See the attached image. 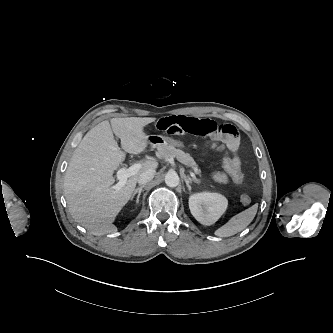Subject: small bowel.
<instances>
[{
	"mask_svg": "<svg viewBox=\"0 0 333 333\" xmlns=\"http://www.w3.org/2000/svg\"><path fill=\"white\" fill-rule=\"evenodd\" d=\"M155 129L174 136L191 134L207 137L211 141L224 146L232 155L237 166L241 167V160L237 154L239 136L236 128L230 124H218L207 118H196L185 115L165 116L154 123ZM214 180L227 183L228 175L224 171L214 173Z\"/></svg>",
	"mask_w": 333,
	"mask_h": 333,
	"instance_id": "obj_1",
	"label": "small bowel"
}]
</instances>
